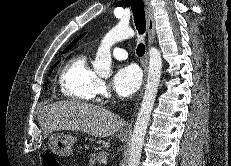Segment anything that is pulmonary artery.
Listing matches in <instances>:
<instances>
[{
    "mask_svg": "<svg viewBox=\"0 0 231 166\" xmlns=\"http://www.w3.org/2000/svg\"><path fill=\"white\" fill-rule=\"evenodd\" d=\"M112 53H113V56L119 60H124L128 57L127 51L123 48H120V47H115L113 49Z\"/></svg>",
    "mask_w": 231,
    "mask_h": 166,
    "instance_id": "obj_1",
    "label": "pulmonary artery"
}]
</instances>
